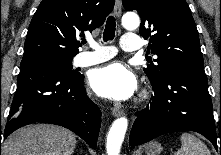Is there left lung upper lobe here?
Returning <instances> with one entry per match:
<instances>
[{"instance_id":"left-lung-upper-lobe-1","label":"left lung upper lobe","mask_w":221,"mask_h":155,"mask_svg":"<svg viewBox=\"0 0 221 155\" xmlns=\"http://www.w3.org/2000/svg\"><path fill=\"white\" fill-rule=\"evenodd\" d=\"M125 9L137 10L140 34L150 39L148 49L158 56L144 68L151 83L178 67H204L200 41L185 0H122Z\"/></svg>"}]
</instances>
